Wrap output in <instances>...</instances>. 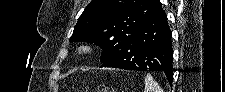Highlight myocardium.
I'll return each mask as SVG.
<instances>
[{
    "mask_svg": "<svg viewBox=\"0 0 225 92\" xmlns=\"http://www.w3.org/2000/svg\"><path fill=\"white\" fill-rule=\"evenodd\" d=\"M92 49L88 45H81L77 49V54L80 58H85L91 53Z\"/></svg>",
    "mask_w": 225,
    "mask_h": 92,
    "instance_id": "f54148a6",
    "label": "myocardium"
}]
</instances>
